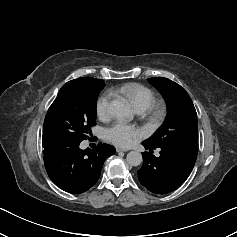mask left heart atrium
Returning a JSON list of instances; mask_svg holds the SVG:
<instances>
[{
    "label": "left heart atrium",
    "instance_id": "left-heart-atrium-1",
    "mask_svg": "<svg viewBox=\"0 0 237 237\" xmlns=\"http://www.w3.org/2000/svg\"><path fill=\"white\" fill-rule=\"evenodd\" d=\"M105 137L118 147H130L143 137V131L124 122H117L105 130Z\"/></svg>",
    "mask_w": 237,
    "mask_h": 237
}]
</instances>
